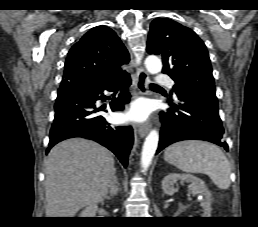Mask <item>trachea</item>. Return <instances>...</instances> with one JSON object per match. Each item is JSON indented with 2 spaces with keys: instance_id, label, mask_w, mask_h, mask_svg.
I'll return each mask as SVG.
<instances>
[{
  "instance_id": "trachea-1",
  "label": "trachea",
  "mask_w": 258,
  "mask_h": 227,
  "mask_svg": "<svg viewBox=\"0 0 258 227\" xmlns=\"http://www.w3.org/2000/svg\"><path fill=\"white\" fill-rule=\"evenodd\" d=\"M151 88H160V86L156 85V84H150Z\"/></svg>"
}]
</instances>
